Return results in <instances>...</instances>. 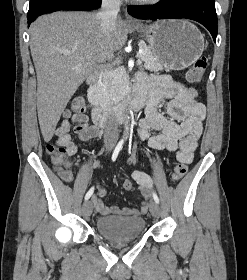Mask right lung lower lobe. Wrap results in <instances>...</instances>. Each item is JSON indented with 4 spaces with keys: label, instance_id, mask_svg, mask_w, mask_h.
<instances>
[{
    "label": "right lung lower lobe",
    "instance_id": "right-lung-lower-lobe-1",
    "mask_svg": "<svg viewBox=\"0 0 247 280\" xmlns=\"http://www.w3.org/2000/svg\"><path fill=\"white\" fill-rule=\"evenodd\" d=\"M102 0H39L29 6L28 26L37 16L59 10H92L100 7Z\"/></svg>",
    "mask_w": 247,
    "mask_h": 280
}]
</instances>
